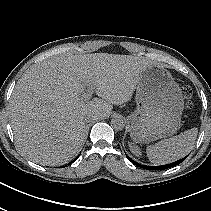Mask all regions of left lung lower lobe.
Returning <instances> with one entry per match:
<instances>
[{"label":"left lung lower lobe","instance_id":"left-lung-lower-lobe-1","mask_svg":"<svg viewBox=\"0 0 211 211\" xmlns=\"http://www.w3.org/2000/svg\"><path fill=\"white\" fill-rule=\"evenodd\" d=\"M127 158L133 163L135 164L136 166L140 167V168H143V169H147V170H164V169H167V168H171V167H174L178 164H180L181 162H183L185 160L186 157L178 160V161H175L173 163H170V164H166V165H161V166H145V165H140L136 162H134L131 158H129L127 156Z\"/></svg>","mask_w":211,"mask_h":211}]
</instances>
